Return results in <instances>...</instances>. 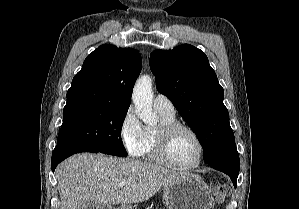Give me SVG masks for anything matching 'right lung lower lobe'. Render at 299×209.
Returning <instances> with one entry per match:
<instances>
[{"instance_id":"98d812e1","label":"right lung lower lobe","mask_w":299,"mask_h":209,"mask_svg":"<svg viewBox=\"0 0 299 209\" xmlns=\"http://www.w3.org/2000/svg\"><path fill=\"white\" fill-rule=\"evenodd\" d=\"M80 152H93V153H98L99 151L95 150H89V149H84V148H77V147H68V146H56V148L53 151L52 154V159H51V166H52V171L54 172L56 166L66 159L67 157L80 153Z\"/></svg>"}]
</instances>
